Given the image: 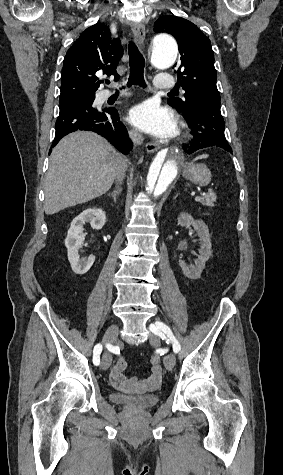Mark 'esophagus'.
<instances>
[{
  "mask_svg": "<svg viewBox=\"0 0 283 475\" xmlns=\"http://www.w3.org/2000/svg\"><path fill=\"white\" fill-rule=\"evenodd\" d=\"M131 29L135 36V41L137 45L142 48L144 46V41L146 37L145 26L142 23L132 22ZM159 149H160L159 143H147L146 145V150L148 153L157 152V150Z\"/></svg>",
  "mask_w": 283,
  "mask_h": 475,
  "instance_id": "obj_1",
  "label": "esophagus"
}]
</instances>
